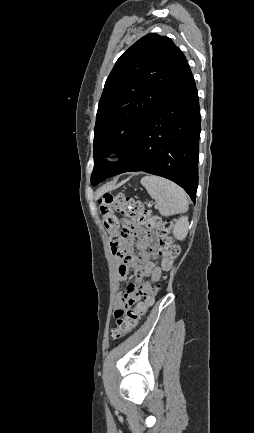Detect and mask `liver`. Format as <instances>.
Wrapping results in <instances>:
<instances>
[{
	"instance_id": "1",
	"label": "liver",
	"mask_w": 254,
	"mask_h": 433,
	"mask_svg": "<svg viewBox=\"0 0 254 433\" xmlns=\"http://www.w3.org/2000/svg\"><path fill=\"white\" fill-rule=\"evenodd\" d=\"M109 188H111V186H104V187L99 191V193H102V192H104L105 190H107V189H109Z\"/></svg>"
}]
</instances>
